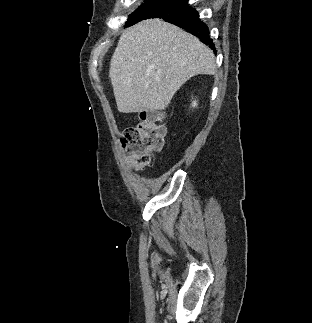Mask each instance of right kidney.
Segmentation results:
<instances>
[{
	"mask_svg": "<svg viewBox=\"0 0 312 323\" xmlns=\"http://www.w3.org/2000/svg\"><path fill=\"white\" fill-rule=\"evenodd\" d=\"M192 106L195 108V106H197L196 102H192Z\"/></svg>",
	"mask_w": 312,
	"mask_h": 323,
	"instance_id": "obj_1",
	"label": "right kidney"
}]
</instances>
